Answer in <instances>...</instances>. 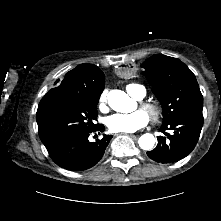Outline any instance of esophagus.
I'll list each match as a JSON object with an SVG mask.
<instances>
[{
	"label": "esophagus",
	"instance_id": "34e87169",
	"mask_svg": "<svg viewBox=\"0 0 221 221\" xmlns=\"http://www.w3.org/2000/svg\"><path fill=\"white\" fill-rule=\"evenodd\" d=\"M121 134H123V133H116V134H114V136H118V135H121ZM128 136L135 137V135H133V134H129Z\"/></svg>",
	"mask_w": 221,
	"mask_h": 221
}]
</instances>
